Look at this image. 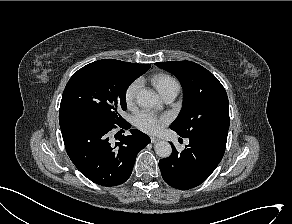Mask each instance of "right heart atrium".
Wrapping results in <instances>:
<instances>
[{
	"instance_id": "1",
	"label": "right heart atrium",
	"mask_w": 292,
	"mask_h": 224,
	"mask_svg": "<svg viewBox=\"0 0 292 224\" xmlns=\"http://www.w3.org/2000/svg\"><path fill=\"white\" fill-rule=\"evenodd\" d=\"M140 89V82L138 80L133 81L125 91V103L128 107H131L136 100L137 94Z\"/></svg>"
}]
</instances>
